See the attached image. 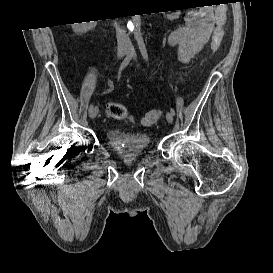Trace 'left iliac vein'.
Segmentation results:
<instances>
[{
	"mask_svg": "<svg viewBox=\"0 0 273 273\" xmlns=\"http://www.w3.org/2000/svg\"><path fill=\"white\" fill-rule=\"evenodd\" d=\"M132 49V48H131ZM134 58H136V54L134 53ZM166 119L169 123L173 122V115L171 114V112H167L166 113Z\"/></svg>",
	"mask_w": 273,
	"mask_h": 273,
	"instance_id": "left-iliac-vein-1",
	"label": "left iliac vein"
}]
</instances>
